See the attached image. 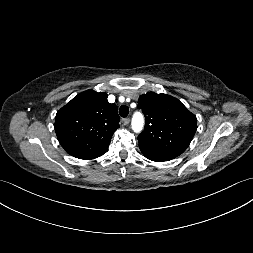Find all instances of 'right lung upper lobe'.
<instances>
[{"instance_id": "obj_1", "label": "right lung upper lobe", "mask_w": 253, "mask_h": 253, "mask_svg": "<svg viewBox=\"0 0 253 253\" xmlns=\"http://www.w3.org/2000/svg\"><path fill=\"white\" fill-rule=\"evenodd\" d=\"M107 96L88 90L75 96L57 112L56 135L70 155L85 159L108 149L120 117L117 106L109 103Z\"/></svg>"}]
</instances>
